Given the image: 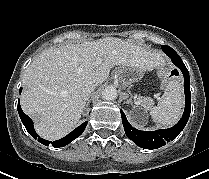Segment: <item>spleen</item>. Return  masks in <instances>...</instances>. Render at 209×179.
Returning <instances> with one entry per match:
<instances>
[{"label":"spleen","mask_w":209,"mask_h":179,"mask_svg":"<svg viewBox=\"0 0 209 179\" xmlns=\"http://www.w3.org/2000/svg\"><path fill=\"white\" fill-rule=\"evenodd\" d=\"M183 106L182 84L178 80H172L167 84L157 106L151 108L150 115L159 125L171 127L180 119Z\"/></svg>","instance_id":"spleen-1"}]
</instances>
